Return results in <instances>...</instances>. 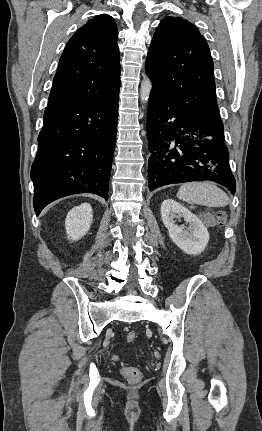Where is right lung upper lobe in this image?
<instances>
[{
	"mask_svg": "<svg viewBox=\"0 0 262 431\" xmlns=\"http://www.w3.org/2000/svg\"><path fill=\"white\" fill-rule=\"evenodd\" d=\"M115 21L103 14L89 20L68 41L60 58L49 102L104 101L120 88Z\"/></svg>",
	"mask_w": 262,
	"mask_h": 431,
	"instance_id": "obj_1",
	"label": "right lung upper lobe"
}]
</instances>
